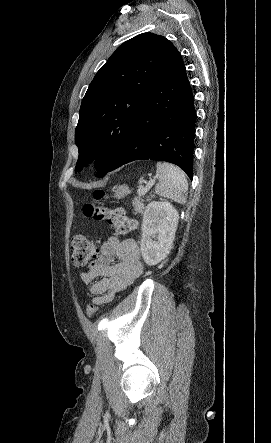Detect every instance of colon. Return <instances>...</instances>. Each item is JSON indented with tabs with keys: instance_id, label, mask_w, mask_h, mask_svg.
<instances>
[{
	"instance_id": "5ec220e1",
	"label": "colon",
	"mask_w": 271,
	"mask_h": 443,
	"mask_svg": "<svg viewBox=\"0 0 271 443\" xmlns=\"http://www.w3.org/2000/svg\"><path fill=\"white\" fill-rule=\"evenodd\" d=\"M106 193L97 190L93 193L92 201L86 203L83 207V213L87 218L98 222H104L116 229L121 235H127L135 228V221L128 218L122 209H109L103 202ZM72 263L76 267H85L95 258L97 246L94 242L88 240L82 235H77L71 240ZM98 312L97 305L91 303L87 307V315L93 318Z\"/></svg>"
}]
</instances>
